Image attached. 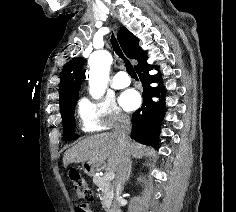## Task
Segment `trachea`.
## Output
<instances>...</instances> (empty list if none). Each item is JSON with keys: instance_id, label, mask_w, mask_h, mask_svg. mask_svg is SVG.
Here are the masks:
<instances>
[{"instance_id": "1", "label": "trachea", "mask_w": 236, "mask_h": 212, "mask_svg": "<svg viewBox=\"0 0 236 212\" xmlns=\"http://www.w3.org/2000/svg\"><path fill=\"white\" fill-rule=\"evenodd\" d=\"M111 44L113 47V50L115 51V53L125 62V66H126V71L128 72V74L132 77V78H137V74L131 64V62L124 56L118 42L117 39L115 38L114 34H112L111 36Z\"/></svg>"}]
</instances>
